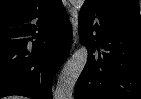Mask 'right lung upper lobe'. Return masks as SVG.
<instances>
[{"label": "right lung upper lobe", "instance_id": "right-lung-upper-lobe-1", "mask_svg": "<svg viewBox=\"0 0 141 99\" xmlns=\"http://www.w3.org/2000/svg\"><path fill=\"white\" fill-rule=\"evenodd\" d=\"M53 0H0V19L45 7Z\"/></svg>", "mask_w": 141, "mask_h": 99}]
</instances>
